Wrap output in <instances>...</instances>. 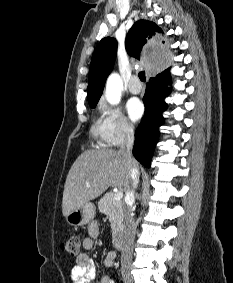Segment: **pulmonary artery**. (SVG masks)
<instances>
[{
	"mask_svg": "<svg viewBox=\"0 0 233 283\" xmlns=\"http://www.w3.org/2000/svg\"><path fill=\"white\" fill-rule=\"evenodd\" d=\"M128 89L132 94H139L141 92L142 86L137 75L132 76L130 79Z\"/></svg>",
	"mask_w": 233,
	"mask_h": 283,
	"instance_id": "1",
	"label": "pulmonary artery"
}]
</instances>
